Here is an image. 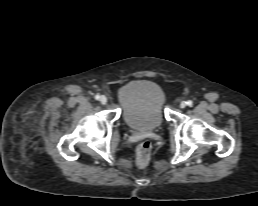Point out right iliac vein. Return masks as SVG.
I'll list each match as a JSON object with an SVG mask.
<instances>
[{
	"instance_id": "right-iliac-vein-1",
	"label": "right iliac vein",
	"mask_w": 258,
	"mask_h": 206,
	"mask_svg": "<svg viewBox=\"0 0 258 206\" xmlns=\"http://www.w3.org/2000/svg\"><path fill=\"white\" fill-rule=\"evenodd\" d=\"M100 102H101L102 104H107V97L104 96V95H102V96L100 97Z\"/></svg>"
}]
</instances>
